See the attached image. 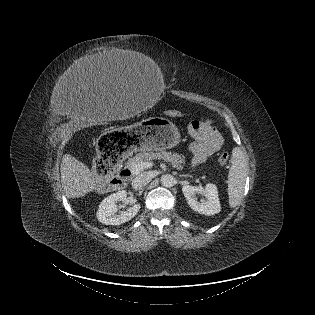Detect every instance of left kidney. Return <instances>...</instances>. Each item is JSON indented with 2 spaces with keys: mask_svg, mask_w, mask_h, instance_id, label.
I'll list each match as a JSON object with an SVG mask.
<instances>
[{
  "mask_svg": "<svg viewBox=\"0 0 315 315\" xmlns=\"http://www.w3.org/2000/svg\"><path fill=\"white\" fill-rule=\"evenodd\" d=\"M182 192L191 209L204 215H214L219 213L221 205L218 197V191L215 184L208 183L205 187L185 185L182 187ZM197 194L205 196V200L200 201Z\"/></svg>",
  "mask_w": 315,
  "mask_h": 315,
  "instance_id": "1",
  "label": "left kidney"
}]
</instances>
